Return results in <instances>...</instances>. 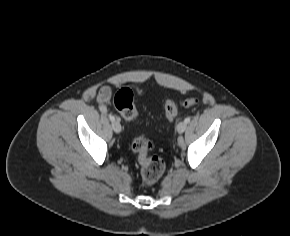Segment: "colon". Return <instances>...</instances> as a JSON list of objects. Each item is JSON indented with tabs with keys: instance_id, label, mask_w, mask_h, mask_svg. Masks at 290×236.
<instances>
[{
	"instance_id": "1",
	"label": "colon",
	"mask_w": 290,
	"mask_h": 236,
	"mask_svg": "<svg viewBox=\"0 0 290 236\" xmlns=\"http://www.w3.org/2000/svg\"><path fill=\"white\" fill-rule=\"evenodd\" d=\"M196 103V98H187L179 102L175 99H168L164 105L165 117L167 120H173L177 116L179 105L189 107ZM114 105L125 120L135 121L138 118V110L134 105V93L130 88H122L116 93ZM151 149L152 144L145 136H138L132 141V150L137 154L141 166L142 181L147 186L155 184L165 170L163 159L150 155Z\"/></svg>"
}]
</instances>
